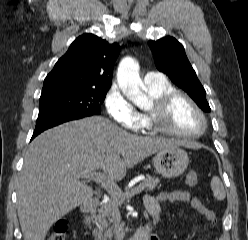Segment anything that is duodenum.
I'll return each instance as SVG.
<instances>
[{"label":"duodenum","instance_id":"obj_1","mask_svg":"<svg viewBox=\"0 0 248 240\" xmlns=\"http://www.w3.org/2000/svg\"><path fill=\"white\" fill-rule=\"evenodd\" d=\"M99 204L97 199H88L81 204V211L84 214H90L95 211ZM131 240H150V225L146 224L140 228Z\"/></svg>","mask_w":248,"mask_h":240}]
</instances>
